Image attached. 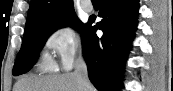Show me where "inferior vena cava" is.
<instances>
[{"instance_id": "1", "label": "inferior vena cava", "mask_w": 173, "mask_h": 91, "mask_svg": "<svg viewBox=\"0 0 173 91\" xmlns=\"http://www.w3.org/2000/svg\"><path fill=\"white\" fill-rule=\"evenodd\" d=\"M74 76L79 84V91H87L86 88L90 86V82L88 79L87 65L82 57L76 61Z\"/></svg>"}]
</instances>
